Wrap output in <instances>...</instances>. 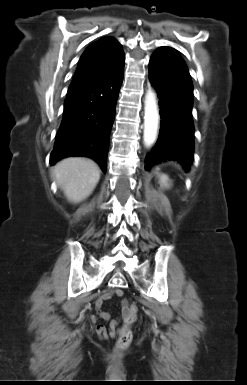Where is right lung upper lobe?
<instances>
[{
    "label": "right lung upper lobe",
    "instance_id": "1",
    "mask_svg": "<svg viewBox=\"0 0 247 385\" xmlns=\"http://www.w3.org/2000/svg\"><path fill=\"white\" fill-rule=\"evenodd\" d=\"M125 63L121 44L112 37H104L90 45L83 53L70 87L109 74Z\"/></svg>",
    "mask_w": 247,
    "mask_h": 385
}]
</instances>
